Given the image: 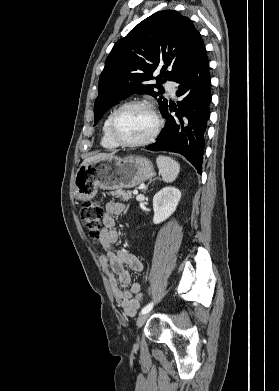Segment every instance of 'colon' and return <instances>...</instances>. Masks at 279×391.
Returning <instances> with one entry per match:
<instances>
[{"label":"colon","instance_id":"1","mask_svg":"<svg viewBox=\"0 0 279 391\" xmlns=\"http://www.w3.org/2000/svg\"><path fill=\"white\" fill-rule=\"evenodd\" d=\"M104 209L99 202L88 201L83 203L81 208V219L88 231L89 236L98 241L103 228ZM136 300L141 305L144 301V295L140 292Z\"/></svg>","mask_w":279,"mask_h":391}]
</instances>
